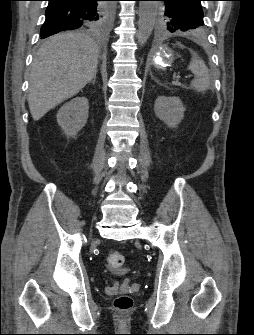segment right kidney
Masks as SVG:
<instances>
[{"label": "right kidney", "mask_w": 254, "mask_h": 335, "mask_svg": "<svg viewBox=\"0 0 254 335\" xmlns=\"http://www.w3.org/2000/svg\"><path fill=\"white\" fill-rule=\"evenodd\" d=\"M88 110L89 102L85 97H76L59 109L57 122L67 137L75 136L85 126Z\"/></svg>", "instance_id": "right-kidney-1"}]
</instances>
